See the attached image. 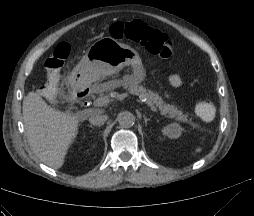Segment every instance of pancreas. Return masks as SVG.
<instances>
[{
    "label": "pancreas",
    "instance_id": "cf45deb5",
    "mask_svg": "<svg viewBox=\"0 0 254 216\" xmlns=\"http://www.w3.org/2000/svg\"><path fill=\"white\" fill-rule=\"evenodd\" d=\"M102 91L112 90L118 87L127 89L132 95L138 96L141 99H146L148 105L156 106L161 114L166 117L175 118L182 123L191 124L192 119L188 115L184 114L182 110L178 109L174 105L167 104L163 99L151 90L145 89L142 85L123 80H112L99 86Z\"/></svg>",
    "mask_w": 254,
    "mask_h": 216
}]
</instances>
